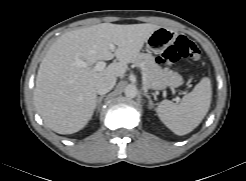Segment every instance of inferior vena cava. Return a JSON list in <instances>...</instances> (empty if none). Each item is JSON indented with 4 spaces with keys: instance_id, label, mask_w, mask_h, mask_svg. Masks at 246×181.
<instances>
[{
    "instance_id": "1",
    "label": "inferior vena cava",
    "mask_w": 246,
    "mask_h": 181,
    "mask_svg": "<svg viewBox=\"0 0 246 181\" xmlns=\"http://www.w3.org/2000/svg\"><path fill=\"white\" fill-rule=\"evenodd\" d=\"M116 78L114 76H106L101 78L96 84V93L103 95L108 93L114 87Z\"/></svg>"
}]
</instances>
